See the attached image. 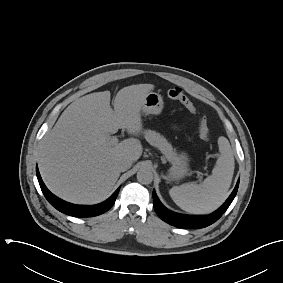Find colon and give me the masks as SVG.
<instances>
[{"instance_id": "obj_1", "label": "colon", "mask_w": 283, "mask_h": 283, "mask_svg": "<svg viewBox=\"0 0 283 283\" xmlns=\"http://www.w3.org/2000/svg\"><path fill=\"white\" fill-rule=\"evenodd\" d=\"M168 97L170 99L176 100L180 102L189 112L196 113L197 108L194 103L189 99L188 96L182 91V89L178 87H174L168 90ZM199 136L204 139L208 140L210 137L209 128L207 126L206 118L202 115L199 118V126H198Z\"/></svg>"}]
</instances>
